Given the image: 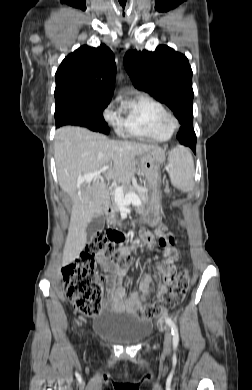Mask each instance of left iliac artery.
Listing matches in <instances>:
<instances>
[{"instance_id":"left-iliac-artery-1","label":"left iliac artery","mask_w":252,"mask_h":390,"mask_svg":"<svg viewBox=\"0 0 252 390\" xmlns=\"http://www.w3.org/2000/svg\"><path fill=\"white\" fill-rule=\"evenodd\" d=\"M165 322L171 328L172 335H173V348L176 349L178 346V342H179L178 328H177L176 324L169 317L165 318Z\"/></svg>"}]
</instances>
